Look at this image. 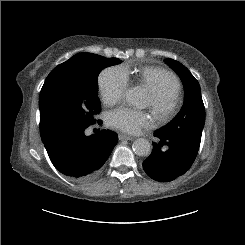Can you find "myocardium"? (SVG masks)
Masks as SVG:
<instances>
[{"instance_id": "obj_1", "label": "myocardium", "mask_w": 245, "mask_h": 245, "mask_svg": "<svg viewBox=\"0 0 245 245\" xmlns=\"http://www.w3.org/2000/svg\"><path fill=\"white\" fill-rule=\"evenodd\" d=\"M149 95V107L157 119L165 121L175 114L179 105V96L170 84H164L156 89L149 90Z\"/></svg>"}]
</instances>
